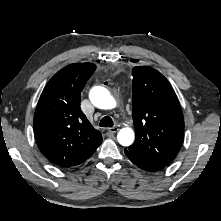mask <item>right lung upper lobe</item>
I'll return each instance as SVG.
<instances>
[{
  "label": "right lung upper lobe",
  "mask_w": 221,
  "mask_h": 221,
  "mask_svg": "<svg viewBox=\"0 0 221 221\" xmlns=\"http://www.w3.org/2000/svg\"><path fill=\"white\" fill-rule=\"evenodd\" d=\"M96 65L74 63L57 72L38 101L33 126L37 145L45 157L60 167L86 161L102 143L80 109V93Z\"/></svg>",
  "instance_id": "cb5924a9"
}]
</instances>
